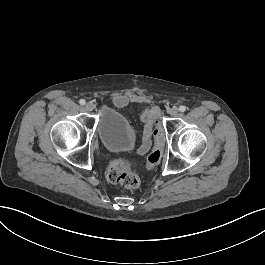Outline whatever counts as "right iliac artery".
<instances>
[{"instance_id": "obj_1", "label": "right iliac artery", "mask_w": 265, "mask_h": 265, "mask_svg": "<svg viewBox=\"0 0 265 265\" xmlns=\"http://www.w3.org/2000/svg\"><path fill=\"white\" fill-rule=\"evenodd\" d=\"M79 103H80L81 105H85L86 101H85L84 99H81V100L79 101Z\"/></svg>"}]
</instances>
